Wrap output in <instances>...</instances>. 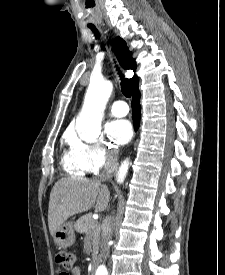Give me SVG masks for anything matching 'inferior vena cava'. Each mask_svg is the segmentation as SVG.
<instances>
[{"label":"inferior vena cava","instance_id":"602c4592","mask_svg":"<svg viewBox=\"0 0 225 275\" xmlns=\"http://www.w3.org/2000/svg\"><path fill=\"white\" fill-rule=\"evenodd\" d=\"M106 164L104 166V173L100 175V178L104 181L107 180L112 171L117 167V152L110 150L106 154ZM105 228L102 233V240L100 245L101 256L106 259L109 255V241L111 239V217L107 216L104 220Z\"/></svg>","mask_w":225,"mask_h":275}]
</instances>
